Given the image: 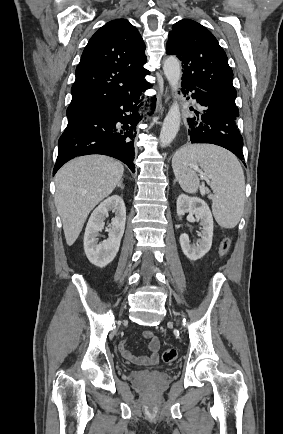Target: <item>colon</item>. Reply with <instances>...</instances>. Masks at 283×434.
Returning <instances> with one entry per match:
<instances>
[{"mask_svg":"<svg viewBox=\"0 0 283 434\" xmlns=\"http://www.w3.org/2000/svg\"><path fill=\"white\" fill-rule=\"evenodd\" d=\"M230 246H231L230 239H224L220 245V250H219L220 256L227 255V253L230 250ZM177 357H178V352L176 349L173 348L165 350L162 354V359L166 363H171L175 361Z\"/></svg>","mask_w":283,"mask_h":434,"instance_id":"5ec220e1","label":"colon"}]
</instances>
